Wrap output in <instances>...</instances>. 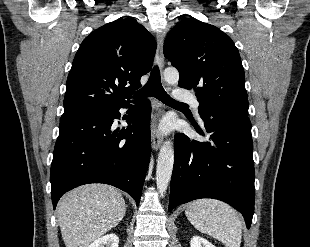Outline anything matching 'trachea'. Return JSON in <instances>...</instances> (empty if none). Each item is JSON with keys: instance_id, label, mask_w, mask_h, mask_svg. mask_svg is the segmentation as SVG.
<instances>
[{"instance_id": "3493384b", "label": "trachea", "mask_w": 310, "mask_h": 247, "mask_svg": "<svg viewBox=\"0 0 310 247\" xmlns=\"http://www.w3.org/2000/svg\"><path fill=\"white\" fill-rule=\"evenodd\" d=\"M151 96L156 97L158 100L168 105H185L184 103L174 100L165 92L161 84L160 71L157 66L152 69L147 84L136 94L137 99Z\"/></svg>"}]
</instances>
